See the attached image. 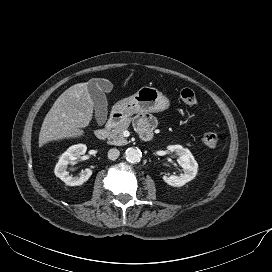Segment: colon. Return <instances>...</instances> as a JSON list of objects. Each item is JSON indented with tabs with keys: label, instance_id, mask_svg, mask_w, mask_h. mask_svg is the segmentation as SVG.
Masks as SVG:
<instances>
[{
	"label": "colon",
	"instance_id": "1",
	"mask_svg": "<svg viewBox=\"0 0 272 272\" xmlns=\"http://www.w3.org/2000/svg\"><path fill=\"white\" fill-rule=\"evenodd\" d=\"M181 101L189 106L197 104V96L190 88H184L180 92ZM202 142L208 148H216L219 145V137L215 133H205L202 136Z\"/></svg>",
	"mask_w": 272,
	"mask_h": 272
}]
</instances>
